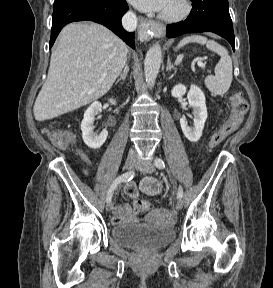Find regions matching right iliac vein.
Masks as SVG:
<instances>
[{
	"instance_id": "63e3f726",
	"label": "right iliac vein",
	"mask_w": 273,
	"mask_h": 288,
	"mask_svg": "<svg viewBox=\"0 0 273 288\" xmlns=\"http://www.w3.org/2000/svg\"><path fill=\"white\" fill-rule=\"evenodd\" d=\"M136 164H137V160L134 157H128L126 159L124 168L126 170H131ZM112 209H113V203L112 202H108L107 205H106V210L108 212H110V211H112Z\"/></svg>"
}]
</instances>
